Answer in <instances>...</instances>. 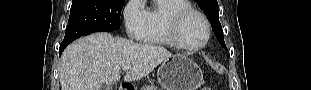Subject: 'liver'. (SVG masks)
I'll use <instances>...</instances> for the list:
<instances>
[{
	"label": "liver",
	"mask_w": 311,
	"mask_h": 90,
	"mask_svg": "<svg viewBox=\"0 0 311 90\" xmlns=\"http://www.w3.org/2000/svg\"><path fill=\"white\" fill-rule=\"evenodd\" d=\"M172 54L162 46L135 43L109 33H95L71 43L61 56L59 78L62 90H100L121 79L122 66L130 70L125 81L147 76Z\"/></svg>",
	"instance_id": "1"
}]
</instances>
